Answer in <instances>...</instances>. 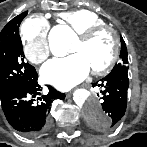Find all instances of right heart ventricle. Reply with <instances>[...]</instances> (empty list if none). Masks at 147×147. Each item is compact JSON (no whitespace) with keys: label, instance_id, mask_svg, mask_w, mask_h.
<instances>
[{"label":"right heart ventricle","instance_id":"e07e8e85","mask_svg":"<svg viewBox=\"0 0 147 147\" xmlns=\"http://www.w3.org/2000/svg\"><path fill=\"white\" fill-rule=\"evenodd\" d=\"M59 18L76 34H81L95 26L105 25L104 20L97 13L88 9L62 13L59 14Z\"/></svg>","mask_w":147,"mask_h":147}]
</instances>
